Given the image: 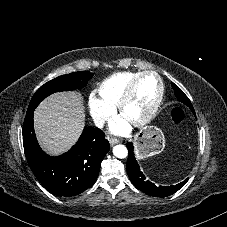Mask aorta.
Here are the masks:
<instances>
[{
    "instance_id": "aorta-1",
    "label": "aorta",
    "mask_w": 227,
    "mask_h": 227,
    "mask_svg": "<svg viewBox=\"0 0 227 227\" xmlns=\"http://www.w3.org/2000/svg\"><path fill=\"white\" fill-rule=\"evenodd\" d=\"M113 154L120 159L126 158L128 155V150L124 145H116L113 147Z\"/></svg>"
}]
</instances>
